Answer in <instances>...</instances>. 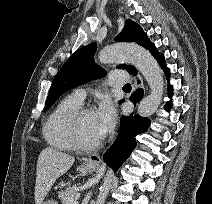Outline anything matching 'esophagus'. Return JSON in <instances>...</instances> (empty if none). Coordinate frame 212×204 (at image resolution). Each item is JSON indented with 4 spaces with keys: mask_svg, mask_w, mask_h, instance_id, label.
<instances>
[{
    "mask_svg": "<svg viewBox=\"0 0 212 204\" xmlns=\"http://www.w3.org/2000/svg\"><path fill=\"white\" fill-rule=\"evenodd\" d=\"M138 78H139V76L134 78L133 90H136L137 87H138L137 86V79ZM139 86L142 87L143 85L140 84ZM100 160H101V158H100L99 154H93L87 159L86 163L88 165H97V164H99Z\"/></svg>",
    "mask_w": 212,
    "mask_h": 204,
    "instance_id": "obj_1",
    "label": "esophagus"
}]
</instances>
